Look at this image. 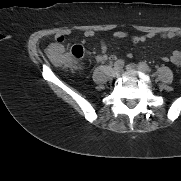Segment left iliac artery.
I'll use <instances>...</instances> for the list:
<instances>
[{
	"mask_svg": "<svg viewBox=\"0 0 181 181\" xmlns=\"http://www.w3.org/2000/svg\"><path fill=\"white\" fill-rule=\"evenodd\" d=\"M139 67L144 71H149V66L145 62H140Z\"/></svg>",
	"mask_w": 181,
	"mask_h": 181,
	"instance_id": "obj_1",
	"label": "left iliac artery"
}]
</instances>
